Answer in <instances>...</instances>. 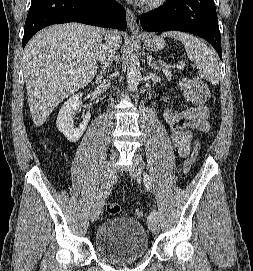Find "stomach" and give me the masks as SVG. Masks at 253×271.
I'll use <instances>...</instances> for the list:
<instances>
[{"label": "stomach", "instance_id": "1", "mask_svg": "<svg viewBox=\"0 0 253 271\" xmlns=\"http://www.w3.org/2000/svg\"><path fill=\"white\" fill-rule=\"evenodd\" d=\"M144 44L147 49L151 51H158L164 48L165 41L158 36L147 35L144 38Z\"/></svg>", "mask_w": 253, "mask_h": 271}]
</instances>
